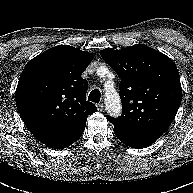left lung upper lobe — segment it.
Here are the masks:
<instances>
[{
	"instance_id": "obj_1",
	"label": "left lung upper lobe",
	"mask_w": 193,
	"mask_h": 193,
	"mask_svg": "<svg viewBox=\"0 0 193 193\" xmlns=\"http://www.w3.org/2000/svg\"><path fill=\"white\" fill-rule=\"evenodd\" d=\"M103 59L121 77L122 114L109 121L128 132L165 133L179 109L182 89L175 63L146 45L104 49Z\"/></svg>"
}]
</instances>
